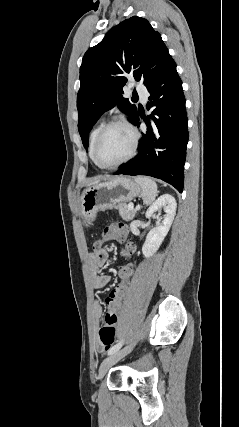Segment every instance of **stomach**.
Listing matches in <instances>:
<instances>
[{"instance_id":"1","label":"stomach","mask_w":239,"mask_h":427,"mask_svg":"<svg viewBox=\"0 0 239 427\" xmlns=\"http://www.w3.org/2000/svg\"><path fill=\"white\" fill-rule=\"evenodd\" d=\"M141 193L140 185L134 180L119 176L109 182L87 188L81 197V212L84 219L92 222L99 211L113 208L117 203L131 201Z\"/></svg>"}]
</instances>
